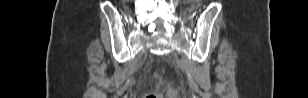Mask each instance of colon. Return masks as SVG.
<instances>
[{"mask_svg": "<svg viewBox=\"0 0 308 98\" xmlns=\"http://www.w3.org/2000/svg\"><path fill=\"white\" fill-rule=\"evenodd\" d=\"M170 96L171 97H174V98H177L179 97V92L175 89L171 90L170 91ZM161 94L158 93V92H151V93H148L145 98H161Z\"/></svg>", "mask_w": 308, "mask_h": 98, "instance_id": "obj_1", "label": "colon"}]
</instances>
